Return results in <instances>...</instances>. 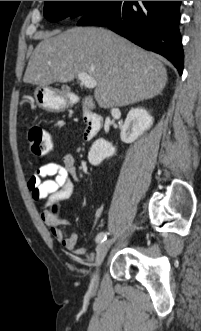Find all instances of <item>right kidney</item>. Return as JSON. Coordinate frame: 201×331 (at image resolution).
Masks as SVG:
<instances>
[{
    "label": "right kidney",
    "instance_id": "ca27d5eb",
    "mask_svg": "<svg viewBox=\"0 0 201 331\" xmlns=\"http://www.w3.org/2000/svg\"><path fill=\"white\" fill-rule=\"evenodd\" d=\"M152 124L153 117L145 109H132L129 111L122 126L120 138L124 143H132L148 130ZM115 151L112 143L101 138L92 144L88 153V160L92 165L96 166L104 159L113 156Z\"/></svg>",
    "mask_w": 201,
    "mask_h": 331
}]
</instances>
